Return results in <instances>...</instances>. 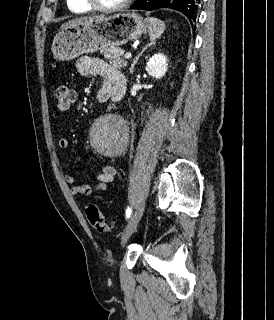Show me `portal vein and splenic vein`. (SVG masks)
Returning a JSON list of instances; mask_svg holds the SVG:
<instances>
[{"label":"portal vein and splenic vein","mask_w":274,"mask_h":320,"mask_svg":"<svg viewBox=\"0 0 274 320\" xmlns=\"http://www.w3.org/2000/svg\"><path fill=\"white\" fill-rule=\"evenodd\" d=\"M124 58H126V60H127V58H131V52H127V54H125Z\"/></svg>","instance_id":"portal-vein-and-splenic-vein-1"}]
</instances>
